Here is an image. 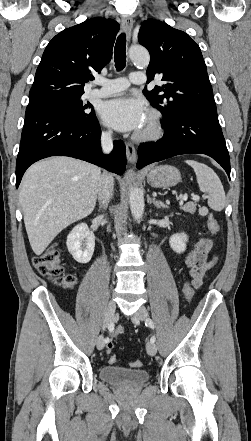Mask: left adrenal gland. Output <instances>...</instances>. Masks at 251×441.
I'll return each instance as SVG.
<instances>
[{
  "instance_id": "a2214340",
  "label": "left adrenal gland",
  "mask_w": 251,
  "mask_h": 441,
  "mask_svg": "<svg viewBox=\"0 0 251 441\" xmlns=\"http://www.w3.org/2000/svg\"><path fill=\"white\" fill-rule=\"evenodd\" d=\"M150 202L154 204L156 208H168L163 202L156 200L154 197L150 199Z\"/></svg>"
}]
</instances>
